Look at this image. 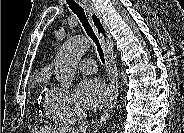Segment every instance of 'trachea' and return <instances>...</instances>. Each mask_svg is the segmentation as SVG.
<instances>
[{
    "instance_id": "1",
    "label": "trachea",
    "mask_w": 184,
    "mask_h": 133,
    "mask_svg": "<svg viewBox=\"0 0 184 133\" xmlns=\"http://www.w3.org/2000/svg\"><path fill=\"white\" fill-rule=\"evenodd\" d=\"M67 4L69 5L70 9L72 10V12L74 14L77 15V17L79 18L80 22L82 23V26L84 27L87 35L93 40V42L95 43L96 47H97V51L99 54V57L102 61V63L105 62V58H104V51L102 48V45L100 43L99 38L97 37V35L95 34L89 20H88V16L85 14V11L74 1V0H66Z\"/></svg>"
}]
</instances>
